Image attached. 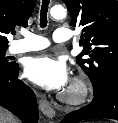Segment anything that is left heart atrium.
Masks as SVG:
<instances>
[{
    "mask_svg": "<svg viewBox=\"0 0 118 123\" xmlns=\"http://www.w3.org/2000/svg\"><path fill=\"white\" fill-rule=\"evenodd\" d=\"M25 74L35 84L52 90L64 89L69 80L64 62L51 55L30 58L25 65Z\"/></svg>",
    "mask_w": 118,
    "mask_h": 123,
    "instance_id": "39dd6f15",
    "label": "left heart atrium"
}]
</instances>
